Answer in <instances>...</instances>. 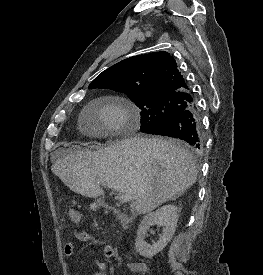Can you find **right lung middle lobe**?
I'll use <instances>...</instances> for the list:
<instances>
[{"mask_svg": "<svg viewBox=\"0 0 263 275\" xmlns=\"http://www.w3.org/2000/svg\"><path fill=\"white\" fill-rule=\"evenodd\" d=\"M114 90L127 94L120 89ZM127 95L141 110L140 130L145 133L190 108L194 102L190 94Z\"/></svg>", "mask_w": 263, "mask_h": 275, "instance_id": "1", "label": "right lung middle lobe"}]
</instances>
